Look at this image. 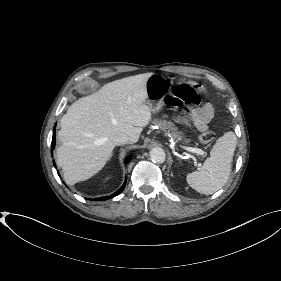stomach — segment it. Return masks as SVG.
<instances>
[{
    "instance_id": "0dacf381",
    "label": "stomach",
    "mask_w": 281,
    "mask_h": 281,
    "mask_svg": "<svg viewBox=\"0 0 281 281\" xmlns=\"http://www.w3.org/2000/svg\"><path fill=\"white\" fill-rule=\"evenodd\" d=\"M171 85V80L161 74L152 73L148 77L146 82V101L151 111L156 112L161 108L162 101L167 95Z\"/></svg>"
}]
</instances>
